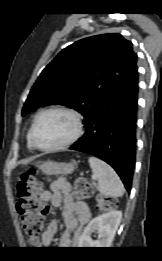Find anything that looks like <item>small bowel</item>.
Wrapping results in <instances>:
<instances>
[{
    "label": "small bowel",
    "instance_id": "c3829d8e",
    "mask_svg": "<svg viewBox=\"0 0 162 261\" xmlns=\"http://www.w3.org/2000/svg\"><path fill=\"white\" fill-rule=\"evenodd\" d=\"M43 201H49L54 208L62 207L63 222L66 231L60 238V247H66L70 243V230L79 231L90 218L91 213L83 202H76L71 196V186L68 180L60 177L52 181L50 191L42 194ZM57 231V223L53 220L42 234L39 245L42 247L50 246L52 239Z\"/></svg>",
    "mask_w": 162,
    "mask_h": 261
}]
</instances>
